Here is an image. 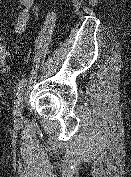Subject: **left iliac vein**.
<instances>
[{"mask_svg": "<svg viewBox=\"0 0 131 177\" xmlns=\"http://www.w3.org/2000/svg\"><path fill=\"white\" fill-rule=\"evenodd\" d=\"M23 95H20L18 97V99L16 100L15 106H14V110H13V114H14V118L15 119H20L22 117V113H23Z\"/></svg>", "mask_w": 131, "mask_h": 177, "instance_id": "4c4485c4", "label": "left iliac vein"}]
</instances>
